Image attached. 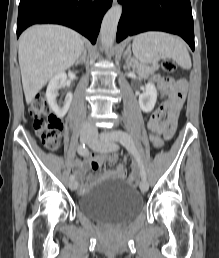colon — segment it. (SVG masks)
Masks as SVG:
<instances>
[{"label":"colon","mask_w":219,"mask_h":258,"mask_svg":"<svg viewBox=\"0 0 219 258\" xmlns=\"http://www.w3.org/2000/svg\"><path fill=\"white\" fill-rule=\"evenodd\" d=\"M162 68L167 73H173L177 65L173 60L167 59L162 63ZM29 114L33 120L35 133L43 145L49 150H56L60 144L62 123L49 109L47 100L43 95L36 96L29 107ZM153 148L160 150L163 147L161 134L153 132L150 136ZM128 182L131 185L137 183V176L130 175Z\"/></svg>","instance_id":"colon-1"}]
</instances>
